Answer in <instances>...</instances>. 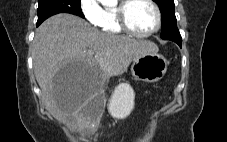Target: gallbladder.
<instances>
[{"mask_svg":"<svg viewBox=\"0 0 227 142\" xmlns=\"http://www.w3.org/2000/svg\"><path fill=\"white\" fill-rule=\"evenodd\" d=\"M105 104V94L95 93L94 98L82 109L83 116L89 117L93 121H97L105 108Z\"/></svg>","mask_w":227,"mask_h":142,"instance_id":"obj_1","label":"gallbladder"}]
</instances>
